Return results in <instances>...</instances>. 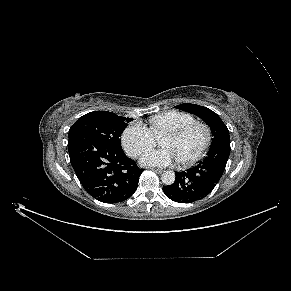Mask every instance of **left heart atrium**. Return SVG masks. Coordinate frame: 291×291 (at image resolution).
Returning a JSON list of instances; mask_svg holds the SVG:
<instances>
[{"label":"left heart atrium","mask_w":291,"mask_h":291,"mask_svg":"<svg viewBox=\"0 0 291 291\" xmlns=\"http://www.w3.org/2000/svg\"><path fill=\"white\" fill-rule=\"evenodd\" d=\"M178 161L176 154L170 148L152 149L145 152L141 157V163L146 166L165 167Z\"/></svg>","instance_id":"1"}]
</instances>
